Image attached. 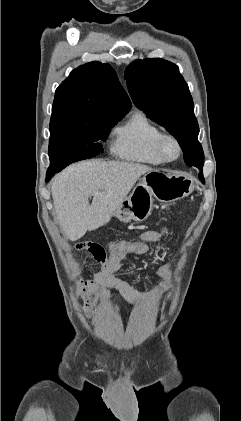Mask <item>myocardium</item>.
I'll return each instance as SVG.
<instances>
[{
  "mask_svg": "<svg viewBox=\"0 0 241 421\" xmlns=\"http://www.w3.org/2000/svg\"><path fill=\"white\" fill-rule=\"evenodd\" d=\"M167 142H172L175 145L176 152L173 156H168L165 151V144ZM156 150L159 154V156L163 159L165 162L174 161L179 158V156L182 153V147L180 144V141L178 138L171 134V133H161L156 141Z\"/></svg>",
  "mask_w": 241,
  "mask_h": 421,
  "instance_id": "f54148a6",
  "label": "myocardium"
}]
</instances>
